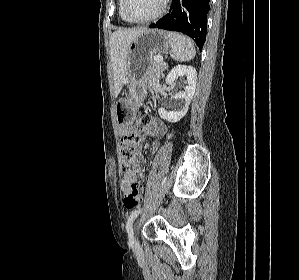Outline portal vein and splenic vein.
Returning a JSON list of instances; mask_svg holds the SVG:
<instances>
[{
	"label": "portal vein and splenic vein",
	"instance_id": "obj_1",
	"mask_svg": "<svg viewBox=\"0 0 299 280\" xmlns=\"http://www.w3.org/2000/svg\"><path fill=\"white\" fill-rule=\"evenodd\" d=\"M154 60H156V61H159V62L163 63V58H162V57H160V56H157V57H155V58H154Z\"/></svg>",
	"mask_w": 299,
	"mask_h": 280
}]
</instances>
